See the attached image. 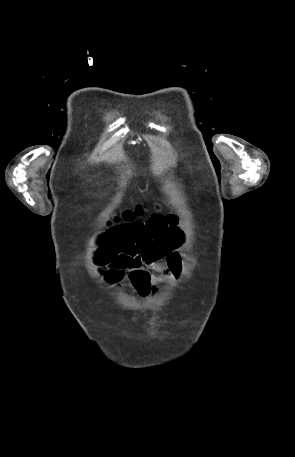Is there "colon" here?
Returning <instances> with one entry per match:
<instances>
[{"label": "colon", "mask_w": 295, "mask_h": 457, "mask_svg": "<svg viewBox=\"0 0 295 457\" xmlns=\"http://www.w3.org/2000/svg\"><path fill=\"white\" fill-rule=\"evenodd\" d=\"M143 207L137 206L134 211H124L121 218L124 221L130 222L135 215H141ZM140 251L134 246H128L122 253L111 254L102 260V264L107 266L106 275L113 279H121L125 273L139 265L137 255Z\"/></svg>", "instance_id": "colon-1"}]
</instances>
